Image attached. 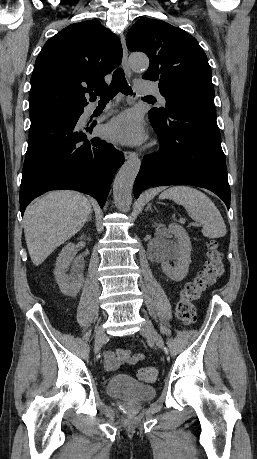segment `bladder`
<instances>
[{"mask_svg":"<svg viewBox=\"0 0 257 459\" xmlns=\"http://www.w3.org/2000/svg\"><path fill=\"white\" fill-rule=\"evenodd\" d=\"M109 396L131 403H140L156 396L154 386L143 384L127 375H114L107 382Z\"/></svg>","mask_w":257,"mask_h":459,"instance_id":"31cf9c89","label":"bladder"}]
</instances>
